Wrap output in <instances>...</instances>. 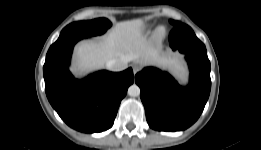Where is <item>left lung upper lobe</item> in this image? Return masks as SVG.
Returning <instances> with one entry per match:
<instances>
[{
    "instance_id": "5c2ea615",
    "label": "left lung upper lobe",
    "mask_w": 261,
    "mask_h": 150,
    "mask_svg": "<svg viewBox=\"0 0 261 150\" xmlns=\"http://www.w3.org/2000/svg\"><path fill=\"white\" fill-rule=\"evenodd\" d=\"M170 23H171L173 26H177V25L182 24L181 22H179V21H174V20H170Z\"/></svg>"
}]
</instances>
